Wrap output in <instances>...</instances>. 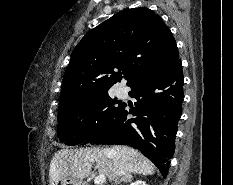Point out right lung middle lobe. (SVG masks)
Masks as SVG:
<instances>
[{"instance_id": "obj_1", "label": "right lung middle lobe", "mask_w": 233, "mask_h": 185, "mask_svg": "<svg viewBox=\"0 0 233 185\" xmlns=\"http://www.w3.org/2000/svg\"><path fill=\"white\" fill-rule=\"evenodd\" d=\"M121 105L104 91L59 107L57 132L60 140L76 145L89 139L110 121Z\"/></svg>"}]
</instances>
